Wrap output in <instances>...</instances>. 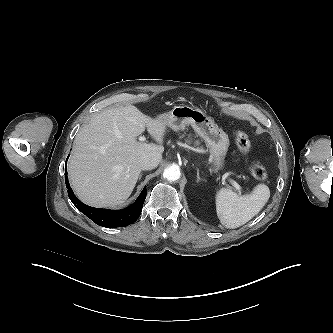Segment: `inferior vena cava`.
Returning a JSON list of instances; mask_svg holds the SVG:
<instances>
[{"mask_svg":"<svg viewBox=\"0 0 333 333\" xmlns=\"http://www.w3.org/2000/svg\"><path fill=\"white\" fill-rule=\"evenodd\" d=\"M161 156H148L142 159L141 161V169L142 170H150L158 166L161 161Z\"/></svg>","mask_w":333,"mask_h":333,"instance_id":"1","label":"inferior vena cava"}]
</instances>
